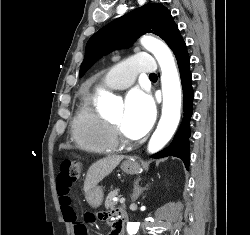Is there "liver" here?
Here are the masks:
<instances>
[{"mask_svg":"<svg viewBox=\"0 0 250 235\" xmlns=\"http://www.w3.org/2000/svg\"><path fill=\"white\" fill-rule=\"evenodd\" d=\"M124 156L113 155L103 158L90 166L86 179L84 181V191L87 196L88 192L97 186L106 176L118 166Z\"/></svg>","mask_w":250,"mask_h":235,"instance_id":"liver-1","label":"liver"}]
</instances>
